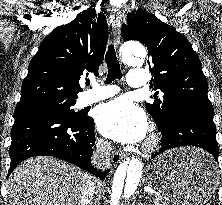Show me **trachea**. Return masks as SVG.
Here are the masks:
<instances>
[{
	"instance_id": "obj_1",
	"label": "trachea",
	"mask_w": 222,
	"mask_h": 205,
	"mask_svg": "<svg viewBox=\"0 0 222 205\" xmlns=\"http://www.w3.org/2000/svg\"><path fill=\"white\" fill-rule=\"evenodd\" d=\"M105 61L107 63L108 75L104 83L108 84L114 81L115 79H121L122 73L120 70V64L117 60V56H116V52H115L113 44H110L108 46V50L105 55ZM89 84L90 82H87V85Z\"/></svg>"
}]
</instances>
